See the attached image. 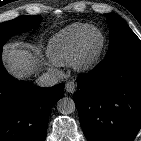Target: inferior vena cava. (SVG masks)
<instances>
[{
    "instance_id": "obj_1",
    "label": "inferior vena cava",
    "mask_w": 141,
    "mask_h": 141,
    "mask_svg": "<svg viewBox=\"0 0 141 141\" xmlns=\"http://www.w3.org/2000/svg\"><path fill=\"white\" fill-rule=\"evenodd\" d=\"M58 83V78L51 72L43 73L36 79V84L39 87H52Z\"/></svg>"
}]
</instances>
